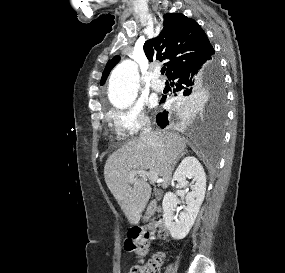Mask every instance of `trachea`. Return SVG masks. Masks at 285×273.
<instances>
[{
    "mask_svg": "<svg viewBox=\"0 0 285 273\" xmlns=\"http://www.w3.org/2000/svg\"><path fill=\"white\" fill-rule=\"evenodd\" d=\"M165 71H166V68H165V67H163V68L161 69V73H162V74H164V73H165Z\"/></svg>",
    "mask_w": 285,
    "mask_h": 273,
    "instance_id": "1",
    "label": "trachea"
}]
</instances>
